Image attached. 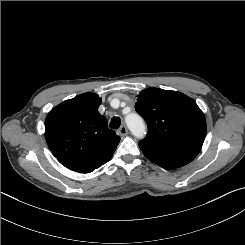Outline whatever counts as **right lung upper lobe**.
I'll return each instance as SVG.
<instances>
[{"mask_svg": "<svg viewBox=\"0 0 245 245\" xmlns=\"http://www.w3.org/2000/svg\"><path fill=\"white\" fill-rule=\"evenodd\" d=\"M100 104L98 95L83 93L54 107L45 119L49 149L72 171H94L111 159L119 143V136L98 112Z\"/></svg>", "mask_w": 245, "mask_h": 245, "instance_id": "cb5924a9", "label": "right lung upper lobe"}]
</instances>
